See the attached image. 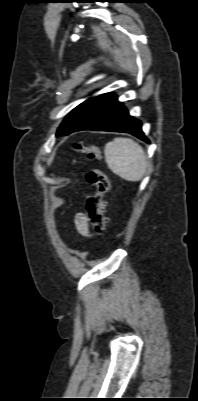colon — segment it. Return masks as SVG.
<instances>
[{
    "label": "colon",
    "instance_id": "5ec220e1",
    "mask_svg": "<svg viewBox=\"0 0 198 401\" xmlns=\"http://www.w3.org/2000/svg\"><path fill=\"white\" fill-rule=\"evenodd\" d=\"M74 149L77 152L84 153L90 160L95 161L100 159V150L96 146L85 147L81 144H75ZM86 181L93 188V191L86 198L88 220L94 230L98 234L103 235L109 225L108 218L105 214V196L110 188L109 180L104 172L93 168L87 172Z\"/></svg>",
    "mask_w": 198,
    "mask_h": 401
}]
</instances>
